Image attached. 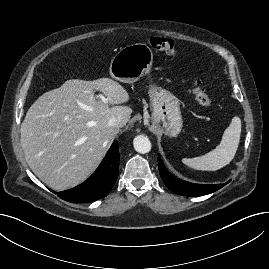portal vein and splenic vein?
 Listing matches in <instances>:
<instances>
[{
	"label": "portal vein and splenic vein",
	"mask_w": 269,
	"mask_h": 269,
	"mask_svg": "<svg viewBox=\"0 0 269 269\" xmlns=\"http://www.w3.org/2000/svg\"><path fill=\"white\" fill-rule=\"evenodd\" d=\"M99 96H100L101 101H102L103 103H106V102H107V99H106L102 94H100Z\"/></svg>",
	"instance_id": "1"
}]
</instances>
